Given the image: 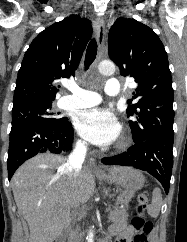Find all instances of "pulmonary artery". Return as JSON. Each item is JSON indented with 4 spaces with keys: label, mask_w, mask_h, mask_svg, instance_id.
<instances>
[{
    "label": "pulmonary artery",
    "mask_w": 187,
    "mask_h": 242,
    "mask_svg": "<svg viewBox=\"0 0 187 242\" xmlns=\"http://www.w3.org/2000/svg\"><path fill=\"white\" fill-rule=\"evenodd\" d=\"M71 95L62 97L60 106L62 108H85L96 105L100 102V96L93 91L83 89L78 85H68ZM120 82L115 78L107 80L104 91L109 96H117L120 93Z\"/></svg>",
    "instance_id": "obj_1"
}]
</instances>
